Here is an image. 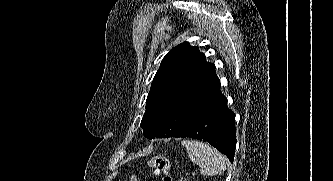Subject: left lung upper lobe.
Masks as SVG:
<instances>
[{
    "mask_svg": "<svg viewBox=\"0 0 333 181\" xmlns=\"http://www.w3.org/2000/svg\"><path fill=\"white\" fill-rule=\"evenodd\" d=\"M220 81L215 66L188 42L164 57L154 76L141 121L144 136L172 137L212 97Z\"/></svg>",
    "mask_w": 333,
    "mask_h": 181,
    "instance_id": "left-lung-upper-lobe-1",
    "label": "left lung upper lobe"
}]
</instances>
